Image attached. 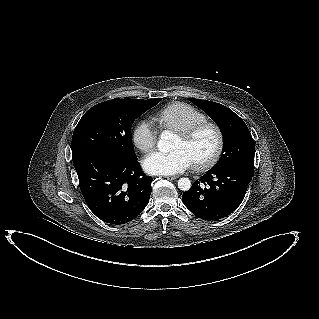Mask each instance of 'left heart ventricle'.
<instances>
[{
    "mask_svg": "<svg viewBox=\"0 0 319 319\" xmlns=\"http://www.w3.org/2000/svg\"><path fill=\"white\" fill-rule=\"evenodd\" d=\"M215 147V135L212 130L204 129L189 141L176 136L171 149H182L190 157L192 162L207 159Z\"/></svg>",
    "mask_w": 319,
    "mask_h": 319,
    "instance_id": "b2bd125f",
    "label": "left heart ventricle"
}]
</instances>
